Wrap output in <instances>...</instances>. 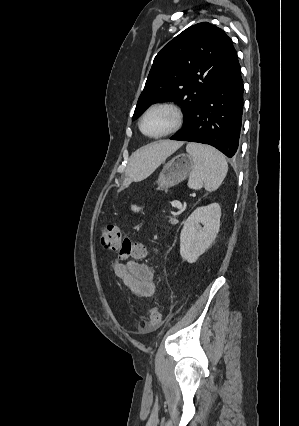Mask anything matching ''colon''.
<instances>
[{
	"label": "colon",
	"instance_id": "obj_1",
	"mask_svg": "<svg viewBox=\"0 0 299 426\" xmlns=\"http://www.w3.org/2000/svg\"><path fill=\"white\" fill-rule=\"evenodd\" d=\"M101 247L107 252H117L123 260L128 258L143 259L148 255L145 246L134 243L125 237L118 226L106 224L102 227L100 236ZM161 321L160 313L156 309H150L147 319L142 327L144 332H152L157 329Z\"/></svg>",
	"mask_w": 299,
	"mask_h": 426
}]
</instances>
